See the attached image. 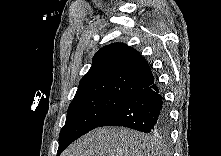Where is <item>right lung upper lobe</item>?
I'll return each instance as SVG.
<instances>
[{
	"label": "right lung upper lobe",
	"mask_w": 221,
	"mask_h": 156,
	"mask_svg": "<svg viewBox=\"0 0 221 156\" xmlns=\"http://www.w3.org/2000/svg\"><path fill=\"white\" fill-rule=\"evenodd\" d=\"M153 83L149 64L134 48L112 43L96 52L74 99L95 95L129 98Z\"/></svg>",
	"instance_id": "1"
}]
</instances>
